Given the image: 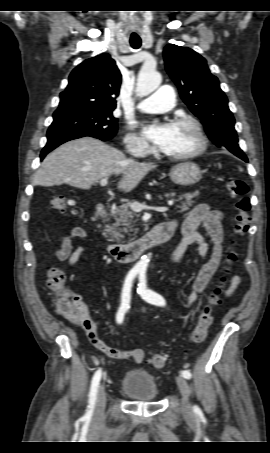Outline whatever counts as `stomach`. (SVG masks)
<instances>
[{
  "mask_svg": "<svg viewBox=\"0 0 270 453\" xmlns=\"http://www.w3.org/2000/svg\"><path fill=\"white\" fill-rule=\"evenodd\" d=\"M169 175L175 184L182 186L194 185L202 178L199 166L193 162H183L175 165L170 170Z\"/></svg>",
  "mask_w": 270,
  "mask_h": 453,
  "instance_id": "obj_1",
  "label": "stomach"
}]
</instances>
